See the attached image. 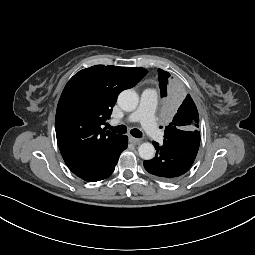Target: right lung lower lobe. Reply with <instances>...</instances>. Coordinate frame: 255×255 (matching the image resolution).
Returning a JSON list of instances; mask_svg holds the SVG:
<instances>
[{"label": "right lung lower lobe", "instance_id": "1", "mask_svg": "<svg viewBox=\"0 0 255 255\" xmlns=\"http://www.w3.org/2000/svg\"><path fill=\"white\" fill-rule=\"evenodd\" d=\"M127 141L128 138L124 135L121 144L113 151L97 156L85 167L72 172L87 182H96L109 177L115 169L121 152L127 148Z\"/></svg>", "mask_w": 255, "mask_h": 255}]
</instances>
